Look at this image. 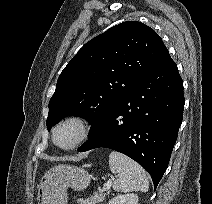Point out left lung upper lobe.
Here are the masks:
<instances>
[{
  "instance_id": "left-lung-upper-lobe-1",
  "label": "left lung upper lobe",
  "mask_w": 212,
  "mask_h": 204,
  "mask_svg": "<svg viewBox=\"0 0 212 204\" xmlns=\"http://www.w3.org/2000/svg\"><path fill=\"white\" fill-rule=\"evenodd\" d=\"M168 54L160 36L137 21L118 24L87 42L60 74L49 102L47 129L81 116L90 135L107 112Z\"/></svg>"
}]
</instances>
